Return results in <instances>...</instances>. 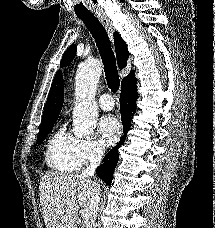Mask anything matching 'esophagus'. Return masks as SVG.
<instances>
[{
    "instance_id": "obj_1",
    "label": "esophagus",
    "mask_w": 215,
    "mask_h": 228,
    "mask_svg": "<svg viewBox=\"0 0 215 228\" xmlns=\"http://www.w3.org/2000/svg\"><path fill=\"white\" fill-rule=\"evenodd\" d=\"M98 19L102 23L103 27L105 28L107 34L109 35L110 40L113 43L114 37H113V27L110 19L105 14H98Z\"/></svg>"
}]
</instances>
